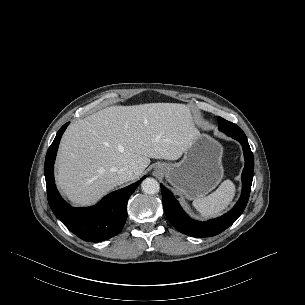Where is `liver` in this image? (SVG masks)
Here are the masks:
<instances>
[{"label":"liver","mask_w":305,"mask_h":305,"mask_svg":"<svg viewBox=\"0 0 305 305\" xmlns=\"http://www.w3.org/2000/svg\"><path fill=\"white\" fill-rule=\"evenodd\" d=\"M198 134L184 104L107 107L75 121L64 133L57 185L73 204L90 205L124 183L121 168L132 167L129 181H135L150 158L177 160Z\"/></svg>","instance_id":"1"}]
</instances>
